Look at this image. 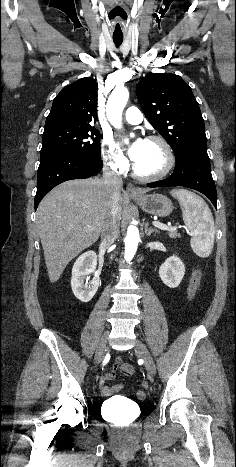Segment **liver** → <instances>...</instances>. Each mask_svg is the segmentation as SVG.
Wrapping results in <instances>:
<instances>
[{
    "mask_svg": "<svg viewBox=\"0 0 236 467\" xmlns=\"http://www.w3.org/2000/svg\"><path fill=\"white\" fill-rule=\"evenodd\" d=\"M101 178L75 179L56 186L40 202L36 222L50 282L67 264L97 241L114 198L121 219L126 198L114 197Z\"/></svg>",
    "mask_w": 236,
    "mask_h": 467,
    "instance_id": "6515ba94",
    "label": "liver"
}]
</instances>
